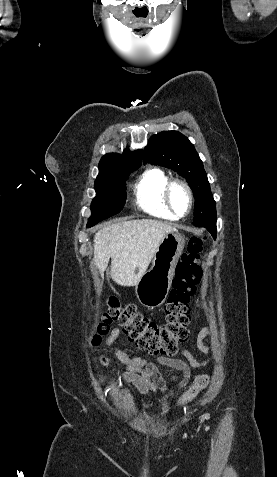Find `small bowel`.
<instances>
[{
  "label": "small bowel",
  "instance_id": "small-bowel-1",
  "mask_svg": "<svg viewBox=\"0 0 277 477\" xmlns=\"http://www.w3.org/2000/svg\"><path fill=\"white\" fill-rule=\"evenodd\" d=\"M120 329L114 328L105 340L106 346H111L120 335ZM211 335L209 328H203L197 335V348L205 354L211 353V347L206 343V339ZM181 354L186 361L166 356H159L157 363L169 367L183 374V379L179 382L180 387H184L191 375V368H200L209 364L211 358L203 361L197 360L187 349H183ZM116 359L119 365L123 367V379L134 385L137 390L148 395L151 392L163 391L167 388L166 382L162 378L158 367L155 363L149 362L143 357H129L124 351L117 349L115 351ZM102 362L105 358L100 357ZM177 376L172 377V381H176Z\"/></svg>",
  "mask_w": 277,
  "mask_h": 477
}]
</instances>
